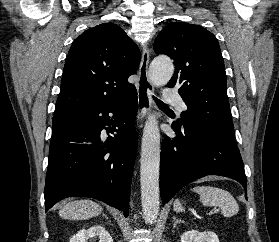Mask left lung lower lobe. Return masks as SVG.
Returning a JSON list of instances; mask_svg holds the SVG:
<instances>
[{"label":"left lung lower lobe","mask_w":279,"mask_h":242,"mask_svg":"<svg viewBox=\"0 0 279 242\" xmlns=\"http://www.w3.org/2000/svg\"><path fill=\"white\" fill-rule=\"evenodd\" d=\"M172 127L176 137L166 136L161 146L160 192L163 203L186 184L206 175L234 179L247 190L244 164L235 140L212 131L181 129L176 123Z\"/></svg>","instance_id":"left-lung-lower-lobe-1"}]
</instances>
